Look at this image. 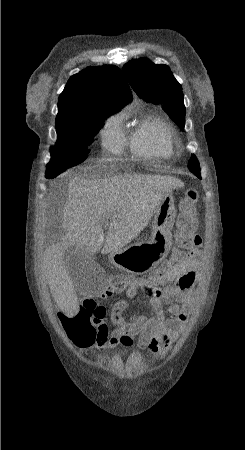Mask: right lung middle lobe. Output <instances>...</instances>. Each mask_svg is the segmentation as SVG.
Masks as SVG:
<instances>
[{"instance_id": "obj_1", "label": "right lung middle lobe", "mask_w": 245, "mask_h": 450, "mask_svg": "<svg viewBox=\"0 0 245 450\" xmlns=\"http://www.w3.org/2000/svg\"><path fill=\"white\" fill-rule=\"evenodd\" d=\"M122 106L93 104L82 112L56 118L57 143L51 151V162L45 177L58 174L83 162L88 157L87 146L98 133L104 118Z\"/></svg>"}]
</instances>
